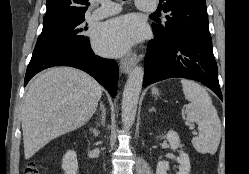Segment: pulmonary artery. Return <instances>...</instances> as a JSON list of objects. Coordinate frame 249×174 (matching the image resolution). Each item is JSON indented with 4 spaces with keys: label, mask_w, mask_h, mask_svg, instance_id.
I'll return each mask as SVG.
<instances>
[{
    "label": "pulmonary artery",
    "mask_w": 249,
    "mask_h": 174,
    "mask_svg": "<svg viewBox=\"0 0 249 174\" xmlns=\"http://www.w3.org/2000/svg\"><path fill=\"white\" fill-rule=\"evenodd\" d=\"M100 7L93 11L91 17L93 19H103L114 15L120 11V6L110 0H98ZM137 9L143 12H153L156 8L154 0H136Z\"/></svg>",
    "instance_id": "e3ab8cb5"
}]
</instances>
